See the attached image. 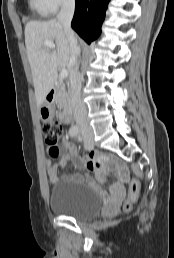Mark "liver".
<instances>
[{
	"label": "liver",
	"mask_w": 174,
	"mask_h": 258,
	"mask_svg": "<svg viewBox=\"0 0 174 258\" xmlns=\"http://www.w3.org/2000/svg\"><path fill=\"white\" fill-rule=\"evenodd\" d=\"M51 41L52 50L44 45ZM25 44L30 63L37 107L40 108L57 81L58 67L69 66L70 47L63 27L57 20L30 21L25 26Z\"/></svg>",
	"instance_id": "1"
}]
</instances>
